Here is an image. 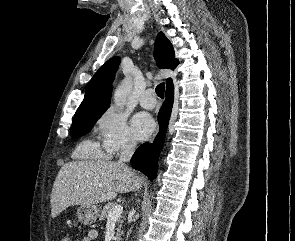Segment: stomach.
<instances>
[{
    "instance_id": "0dacf381",
    "label": "stomach",
    "mask_w": 295,
    "mask_h": 241,
    "mask_svg": "<svg viewBox=\"0 0 295 241\" xmlns=\"http://www.w3.org/2000/svg\"><path fill=\"white\" fill-rule=\"evenodd\" d=\"M100 215V208L93 204V205H81L77 209L76 216L78 221L84 225H91L93 224Z\"/></svg>"
}]
</instances>
